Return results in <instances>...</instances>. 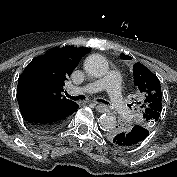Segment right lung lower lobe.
Instances as JSON below:
<instances>
[{"label":"right lung lower lobe","mask_w":177,"mask_h":177,"mask_svg":"<svg viewBox=\"0 0 177 177\" xmlns=\"http://www.w3.org/2000/svg\"><path fill=\"white\" fill-rule=\"evenodd\" d=\"M19 108L32 129L47 132L62 126L79 106L76 103L70 107L20 103Z\"/></svg>","instance_id":"right-lung-lower-lobe-1"}]
</instances>
